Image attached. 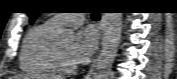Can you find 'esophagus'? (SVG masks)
Listing matches in <instances>:
<instances>
[{"label": "esophagus", "instance_id": "esophagus-1", "mask_svg": "<svg viewBox=\"0 0 177 79\" xmlns=\"http://www.w3.org/2000/svg\"><path fill=\"white\" fill-rule=\"evenodd\" d=\"M99 29H100L101 33L103 34V31H104V18H103V16L101 17V20L99 22ZM96 61H97V58L95 57L93 59V62L91 64L88 72L84 76V79H92L93 78V75H94V72H95Z\"/></svg>", "mask_w": 177, "mask_h": 79}]
</instances>
